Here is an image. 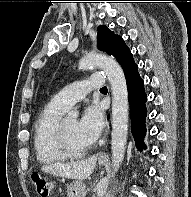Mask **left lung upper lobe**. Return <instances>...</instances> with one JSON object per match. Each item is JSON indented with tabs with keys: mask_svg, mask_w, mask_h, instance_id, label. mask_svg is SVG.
I'll return each instance as SVG.
<instances>
[{
	"mask_svg": "<svg viewBox=\"0 0 191 197\" xmlns=\"http://www.w3.org/2000/svg\"><path fill=\"white\" fill-rule=\"evenodd\" d=\"M97 42L98 48L105 51L107 54L114 56L124 71L137 66L122 37L115 35L114 32H111L104 25L99 26L98 28Z\"/></svg>",
	"mask_w": 191,
	"mask_h": 197,
	"instance_id": "left-lung-upper-lobe-1",
	"label": "left lung upper lobe"
}]
</instances>
